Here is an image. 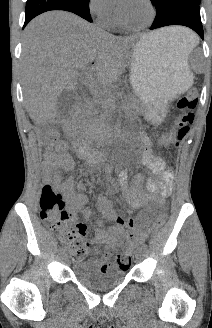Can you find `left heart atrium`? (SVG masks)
<instances>
[{
    "mask_svg": "<svg viewBox=\"0 0 212 328\" xmlns=\"http://www.w3.org/2000/svg\"><path fill=\"white\" fill-rule=\"evenodd\" d=\"M119 8L124 9L131 0H115Z\"/></svg>",
    "mask_w": 212,
    "mask_h": 328,
    "instance_id": "1",
    "label": "left heart atrium"
}]
</instances>
